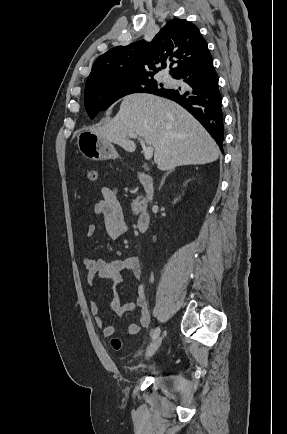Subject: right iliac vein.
<instances>
[{"instance_id": "right-iliac-vein-1", "label": "right iliac vein", "mask_w": 287, "mask_h": 434, "mask_svg": "<svg viewBox=\"0 0 287 434\" xmlns=\"http://www.w3.org/2000/svg\"><path fill=\"white\" fill-rule=\"evenodd\" d=\"M162 342V337L159 336L156 339H154L152 341V343L148 346L147 350H146V357L149 358L151 357L160 347Z\"/></svg>"}]
</instances>
